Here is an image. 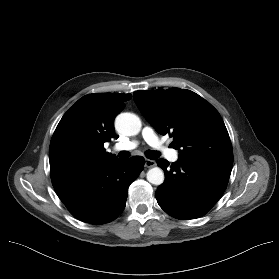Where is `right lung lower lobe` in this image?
<instances>
[{
	"instance_id": "obj_1",
	"label": "right lung lower lobe",
	"mask_w": 279,
	"mask_h": 279,
	"mask_svg": "<svg viewBox=\"0 0 279 279\" xmlns=\"http://www.w3.org/2000/svg\"><path fill=\"white\" fill-rule=\"evenodd\" d=\"M144 164L141 156L116 159L52 184L60 200L77 219L90 224H104L123 212L128 187L139 176Z\"/></svg>"
}]
</instances>
